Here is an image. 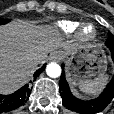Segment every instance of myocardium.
I'll use <instances>...</instances> for the list:
<instances>
[{"label":"myocardium","mask_w":114,"mask_h":114,"mask_svg":"<svg viewBox=\"0 0 114 114\" xmlns=\"http://www.w3.org/2000/svg\"><path fill=\"white\" fill-rule=\"evenodd\" d=\"M87 29H90V32H86ZM78 35L83 40H91L95 37L96 30L92 25L86 24L79 29Z\"/></svg>","instance_id":"obj_1"}]
</instances>
